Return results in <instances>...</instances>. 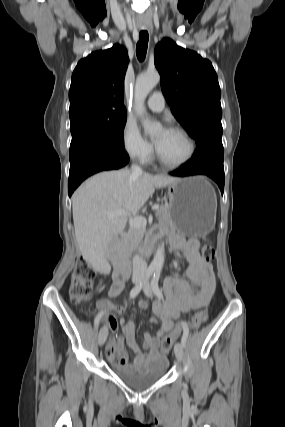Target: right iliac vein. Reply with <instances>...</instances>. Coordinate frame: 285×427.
Here are the masks:
<instances>
[{
	"label": "right iliac vein",
	"instance_id": "right-iliac-vein-1",
	"mask_svg": "<svg viewBox=\"0 0 285 427\" xmlns=\"http://www.w3.org/2000/svg\"><path fill=\"white\" fill-rule=\"evenodd\" d=\"M140 280H141V278L137 277V278H135L133 280V282L137 284V283L140 282ZM107 336H108V327L107 326H103L100 329V332H99V335H98V343H99L100 346H102L105 343V341L107 339Z\"/></svg>",
	"mask_w": 285,
	"mask_h": 427
}]
</instances>
